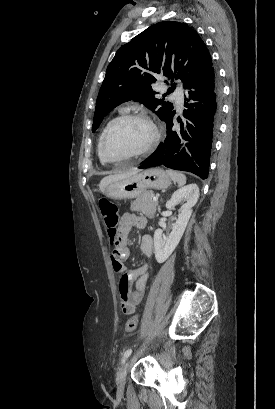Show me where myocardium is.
<instances>
[{
    "instance_id": "1",
    "label": "myocardium",
    "mask_w": 275,
    "mask_h": 409,
    "mask_svg": "<svg viewBox=\"0 0 275 409\" xmlns=\"http://www.w3.org/2000/svg\"><path fill=\"white\" fill-rule=\"evenodd\" d=\"M131 120L139 121V122L143 123L146 126V128L148 129V136H147L145 142L139 148H137L136 150H134V151L122 156V157H137V156H140V155L148 152L154 146V144L156 143V141L158 139L159 134H158V129H157L156 125L153 123V121L149 117H147L145 115H142V114H124V115H121V116L115 118L109 124V126L107 127V129H106V131H105V133L103 135V138L101 140V143H100V148H99L100 157H106L105 154H104V144H105V141L108 138L110 132L112 131V129L118 123H120L122 121H131Z\"/></svg>"
}]
</instances>
